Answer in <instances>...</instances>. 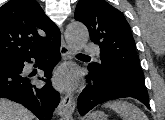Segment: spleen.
I'll use <instances>...</instances> for the list:
<instances>
[{
	"label": "spleen",
	"instance_id": "1",
	"mask_svg": "<svg viewBox=\"0 0 165 120\" xmlns=\"http://www.w3.org/2000/svg\"><path fill=\"white\" fill-rule=\"evenodd\" d=\"M104 107L115 111L122 120H148L144 112L137 106L122 100L110 101L104 104Z\"/></svg>",
	"mask_w": 165,
	"mask_h": 120
}]
</instances>
